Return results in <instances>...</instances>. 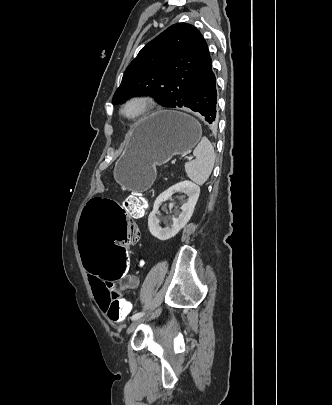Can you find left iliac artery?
<instances>
[{"instance_id": "obj_1", "label": "left iliac artery", "mask_w": 332, "mask_h": 405, "mask_svg": "<svg viewBox=\"0 0 332 405\" xmlns=\"http://www.w3.org/2000/svg\"><path fill=\"white\" fill-rule=\"evenodd\" d=\"M143 315H144V312H138V313L134 314V315L131 317V320H132V321L137 320V319L141 318Z\"/></svg>"}]
</instances>
